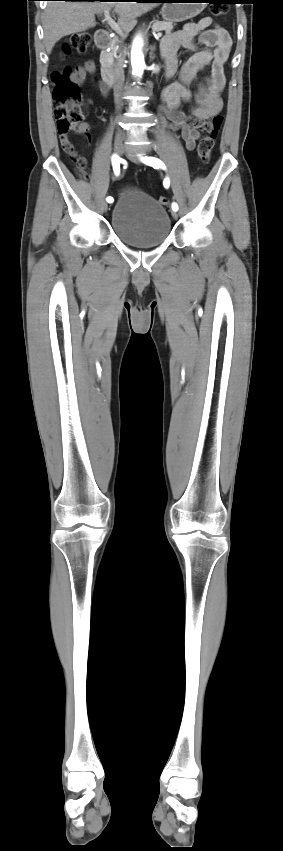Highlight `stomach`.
Returning a JSON list of instances; mask_svg holds the SVG:
<instances>
[{
	"label": "stomach",
	"instance_id": "1",
	"mask_svg": "<svg viewBox=\"0 0 283 851\" xmlns=\"http://www.w3.org/2000/svg\"><path fill=\"white\" fill-rule=\"evenodd\" d=\"M205 0H167L161 15L167 22H181L197 16L206 6Z\"/></svg>",
	"mask_w": 283,
	"mask_h": 851
}]
</instances>
